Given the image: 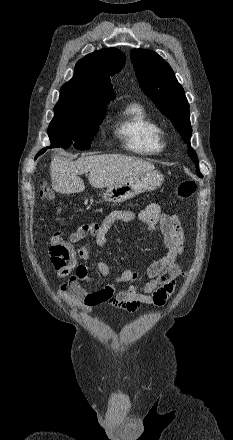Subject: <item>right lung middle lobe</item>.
<instances>
[{"mask_svg":"<svg viewBox=\"0 0 233 440\" xmlns=\"http://www.w3.org/2000/svg\"><path fill=\"white\" fill-rule=\"evenodd\" d=\"M107 106L84 104H56L48 135L53 147L76 149L91 147L94 135L105 118Z\"/></svg>","mask_w":233,"mask_h":440,"instance_id":"1","label":"right lung middle lobe"}]
</instances>
